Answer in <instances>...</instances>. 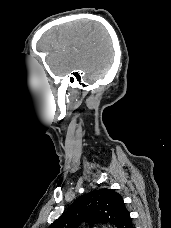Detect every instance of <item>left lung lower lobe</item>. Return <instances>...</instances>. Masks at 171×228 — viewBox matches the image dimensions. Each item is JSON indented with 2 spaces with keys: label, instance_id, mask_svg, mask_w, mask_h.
<instances>
[{
  "label": "left lung lower lobe",
  "instance_id": "1",
  "mask_svg": "<svg viewBox=\"0 0 171 228\" xmlns=\"http://www.w3.org/2000/svg\"><path fill=\"white\" fill-rule=\"evenodd\" d=\"M125 228H134L131 222V219L128 221L127 225L125 226Z\"/></svg>",
  "mask_w": 171,
  "mask_h": 228
}]
</instances>
